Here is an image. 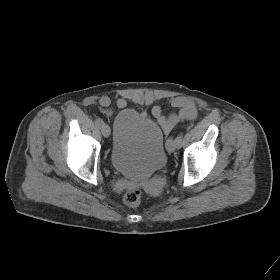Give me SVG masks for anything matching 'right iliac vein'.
Instances as JSON below:
<instances>
[{
	"mask_svg": "<svg viewBox=\"0 0 280 280\" xmlns=\"http://www.w3.org/2000/svg\"><path fill=\"white\" fill-rule=\"evenodd\" d=\"M100 130L104 137H108L110 135V128L107 124H103L100 127Z\"/></svg>",
	"mask_w": 280,
	"mask_h": 280,
	"instance_id": "obj_1",
	"label": "right iliac vein"
}]
</instances>
